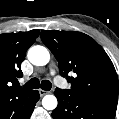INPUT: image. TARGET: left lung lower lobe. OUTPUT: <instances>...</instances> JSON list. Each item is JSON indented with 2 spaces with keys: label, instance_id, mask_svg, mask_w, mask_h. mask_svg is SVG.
Instances as JSON below:
<instances>
[{
  "label": "left lung lower lobe",
  "instance_id": "1",
  "mask_svg": "<svg viewBox=\"0 0 119 119\" xmlns=\"http://www.w3.org/2000/svg\"><path fill=\"white\" fill-rule=\"evenodd\" d=\"M58 106L52 112L53 119H114L117 106L87 101L69 94L64 90L55 89Z\"/></svg>",
  "mask_w": 119,
  "mask_h": 119
}]
</instances>
